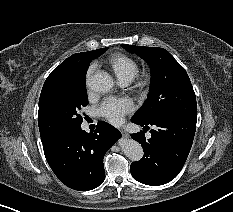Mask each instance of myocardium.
<instances>
[{
    "label": "myocardium",
    "mask_w": 233,
    "mask_h": 212,
    "mask_svg": "<svg viewBox=\"0 0 233 212\" xmlns=\"http://www.w3.org/2000/svg\"><path fill=\"white\" fill-rule=\"evenodd\" d=\"M146 84V81L144 78H141L137 81L136 83V87L139 88V89H142Z\"/></svg>",
    "instance_id": "f54148a6"
}]
</instances>
